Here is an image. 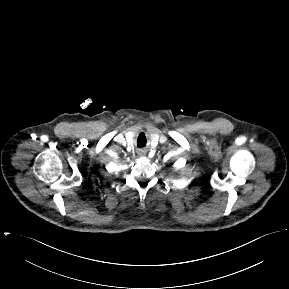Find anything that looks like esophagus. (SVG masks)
Wrapping results in <instances>:
<instances>
[{
	"label": "esophagus",
	"mask_w": 289,
	"mask_h": 289,
	"mask_svg": "<svg viewBox=\"0 0 289 289\" xmlns=\"http://www.w3.org/2000/svg\"><path fill=\"white\" fill-rule=\"evenodd\" d=\"M139 154H140V155H143V154H144V151L141 150V151L139 152Z\"/></svg>",
	"instance_id": "esophagus-1"
}]
</instances>
